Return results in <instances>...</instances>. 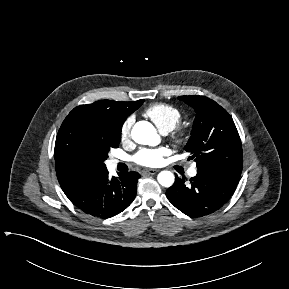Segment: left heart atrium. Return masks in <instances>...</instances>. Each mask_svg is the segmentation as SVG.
I'll return each mask as SVG.
<instances>
[{
  "mask_svg": "<svg viewBox=\"0 0 289 289\" xmlns=\"http://www.w3.org/2000/svg\"><path fill=\"white\" fill-rule=\"evenodd\" d=\"M170 153L168 147L142 148L133 156V161L144 167H156L161 165Z\"/></svg>",
  "mask_w": 289,
  "mask_h": 289,
  "instance_id": "left-heart-atrium-1",
  "label": "left heart atrium"
}]
</instances>
